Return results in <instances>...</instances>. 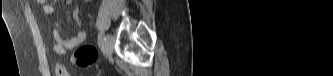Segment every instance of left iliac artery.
Instances as JSON below:
<instances>
[{
	"mask_svg": "<svg viewBox=\"0 0 333 76\" xmlns=\"http://www.w3.org/2000/svg\"><path fill=\"white\" fill-rule=\"evenodd\" d=\"M104 41H105L104 35H103V33H100L98 35V45H99V47L104 45Z\"/></svg>",
	"mask_w": 333,
	"mask_h": 76,
	"instance_id": "obj_1",
	"label": "left iliac artery"
}]
</instances>
